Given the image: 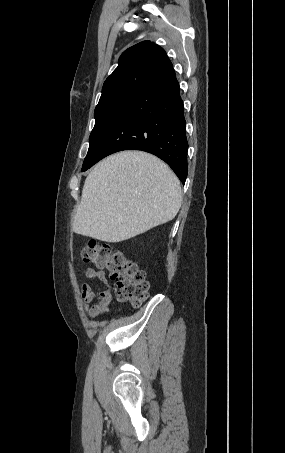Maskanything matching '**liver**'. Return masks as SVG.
Listing matches in <instances>:
<instances>
[{"label":"liver","instance_id":"6515ba94","mask_svg":"<svg viewBox=\"0 0 285 453\" xmlns=\"http://www.w3.org/2000/svg\"><path fill=\"white\" fill-rule=\"evenodd\" d=\"M180 182L157 157L123 151L87 176L72 230L105 242H121L171 221L181 207Z\"/></svg>","mask_w":285,"mask_h":453}]
</instances>
